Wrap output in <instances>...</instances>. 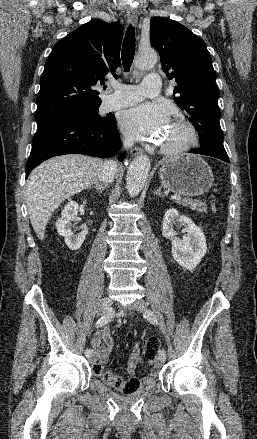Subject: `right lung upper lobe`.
I'll return each mask as SVG.
<instances>
[{
  "instance_id": "cb5924a9",
  "label": "right lung upper lobe",
  "mask_w": 257,
  "mask_h": 439,
  "mask_svg": "<svg viewBox=\"0 0 257 439\" xmlns=\"http://www.w3.org/2000/svg\"><path fill=\"white\" fill-rule=\"evenodd\" d=\"M122 36L118 22L92 20L57 42L40 80L36 121L98 107L94 86L116 76Z\"/></svg>"
}]
</instances>
